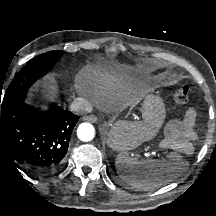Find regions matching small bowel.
Wrapping results in <instances>:
<instances>
[{
  "label": "small bowel",
  "mask_w": 216,
  "mask_h": 216,
  "mask_svg": "<svg viewBox=\"0 0 216 216\" xmlns=\"http://www.w3.org/2000/svg\"><path fill=\"white\" fill-rule=\"evenodd\" d=\"M195 125L196 111L192 108L185 112L182 120L169 121L165 134L168 147L185 155H191L194 151L192 142L198 138Z\"/></svg>",
  "instance_id": "small-bowel-1"
}]
</instances>
